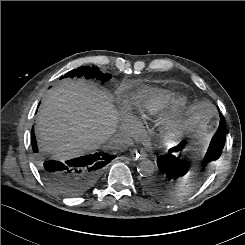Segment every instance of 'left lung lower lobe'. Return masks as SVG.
I'll use <instances>...</instances> for the list:
<instances>
[{"mask_svg":"<svg viewBox=\"0 0 245 245\" xmlns=\"http://www.w3.org/2000/svg\"><path fill=\"white\" fill-rule=\"evenodd\" d=\"M226 131H225V119L221 117L220 124L217 132L211 140L208 150L201 161L202 166H205L215 160H217L225 145ZM186 146L185 142L179 143L177 146L171 148L167 154L160 155L157 159V165L159 167V174L164 181L169 182L172 185H179L187 178L189 167L180 160L178 155ZM145 189L150 193L158 192V181L154 178H150L144 182Z\"/></svg>","mask_w":245,"mask_h":245,"instance_id":"1","label":"left lung lower lobe"}]
</instances>
